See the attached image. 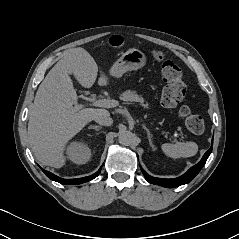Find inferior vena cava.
<instances>
[{"instance_id": "1", "label": "inferior vena cava", "mask_w": 239, "mask_h": 239, "mask_svg": "<svg viewBox=\"0 0 239 239\" xmlns=\"http://www.w3.org/2000/svg\"><path fill=\"white\" fill-rule=\"evenodd\" d=\"M95 122L103 126H111L113 119L110 117V113L107 110H101L94 117Z\"/></svg>"}]
</instances>
